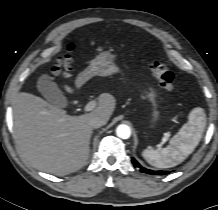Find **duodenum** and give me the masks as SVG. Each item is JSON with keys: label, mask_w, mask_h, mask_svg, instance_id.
<instances>
[{"label": "duodenum", "mask_w": 218, "mask_h": 210, "mask_svg": "<svg viewBox=\"0 0 218 210\" xmlns=\"http://www.w3.org/2000/svg\"><path fill=\"white\" fill-rule=\"evenodd\" d=\"M83 83H84V77L81 76V77L78 79L77 84L80 86V85H82Z\"/></svg>", "instance_id": "obj_1"}]
</instances>
